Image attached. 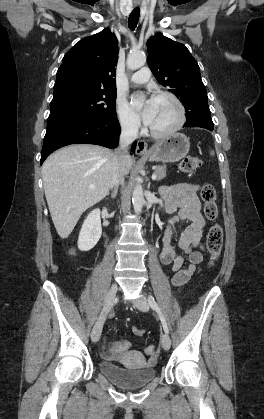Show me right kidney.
I'll return each instance as SVG.
<instances>
[{"instance_id":"right-kidney-1","label":"right kidney","mask_w":264,"mask_h":419,"mask_svg":"<svg viewBox=\"0 0 264 419\" xmlns=\"http://www.w3.org/2000/svg\"><path fill=\"white\" fill-rule=\"evenodd\" d=\"M100 214V210L95 209L85 219L78 239V248L81 251H89L98 243L102 235Z\"/></svg>"}]
</instances>
